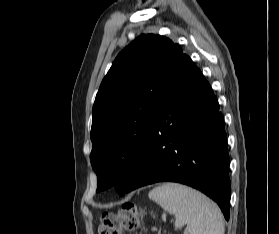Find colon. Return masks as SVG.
I'll list each match as a JSON object with an SVG mask.
<instances>
[{
    "label": "colon",
    "instance_id": "1",
    "mask_svg": "<svg viewBox=\"0 0 279 234\" xmlns=\"http://www.w3.org/2000/svg\"><path fill=\"white\" fill-rule=\"evenodd\" d=\"M140 212L134 203L123 204L117 213L105 212L101 217L99 234H122L137 228Z\"/></svg>",
    "mask_w": 279,
    "mask_h": 234
}]
</instances>
